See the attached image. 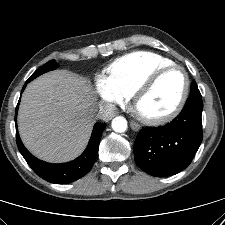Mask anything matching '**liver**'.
<instances>
[{"instance_id":"liver-1","label":"liver","mask_w":225,"mask_h":225,"mask_svg":"<svg viewBox=\"0 0 225 225\" xmlns=\"http://www.w3.org/2000/svg\"><path fill=\"white\" fill-rule=\"evenodd\" d=\"M96 111V98L84 78L67 70L48 72L29 83L22 95L19 134L36 157L70 161L85 149Z\"/></svg>"}]
</instances>
